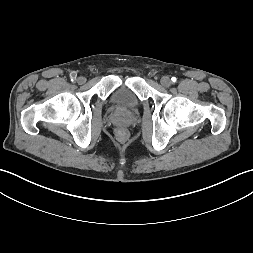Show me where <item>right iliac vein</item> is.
Instances as JSON below:
<instances>
[{
  "instance_id": "63e3f726",
  "label": "right iliac vein",
  "mask_w": 253,
  "mask_h": 253,
  "mask_svg": "<svg viewBox=\"0 0 253 253\" xmlns=\"http://www.w3.org/2000/svg\"><path fill=\"white\" fill-rule=\"evenodd\" d=\"M85 82H86V78H85L84 76H79V77L77 78V83H78V84L82 85V84H84Z\"/></svg>"
}]
</instances>
